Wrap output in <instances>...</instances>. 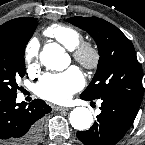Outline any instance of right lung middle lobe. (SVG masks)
I'll use <instances>...</instances> for the list:
<instances>
[{"instance_id":"obj_1","label":"right lung middle lobe","mask_w":145,"mask_h":145,"mask_svg":"<svg viewBox=\"0 0 145 145\" xmlns=\"http://www.w3.org/2000/svg\"><path fill=\"white\" fill-rule=\"evenodd\" d=\"M36 27L35 20L22 33L10 38H0V92L16 94L19 89L16 78L25 75L24 51Z\"/></svg>"}]
</instances>
